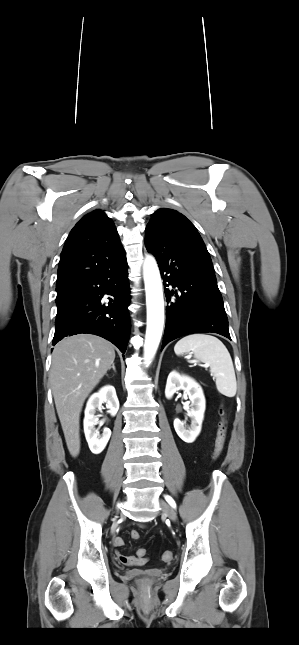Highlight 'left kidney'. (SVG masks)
I'll return each mask as SVG.
<instances>
[{
	"mask_svg": "<svg viewBox=\"0 0 299 645\" xmlns=\"http://www.w3.org/2000/svg\"><path fill=\"white\" fill-rule=\"evenodd\" d=\"M179 390H183L191 401V408L187 413V416L191 419V425L186 429L185 422L176 418L174 420V428L183 441L192 443L201 431L205 412V397L201 386L195 380L188 376L180 375L176 371H172L167 378L165 389L166 398L171 399L174 393Z\"/></svg>",
	"mask_w": 299,
	"mask_h": 645,
	"instance_id": "1",
	"label": "left kidney"
}]
</instances>
